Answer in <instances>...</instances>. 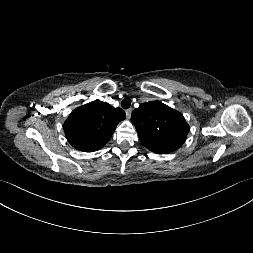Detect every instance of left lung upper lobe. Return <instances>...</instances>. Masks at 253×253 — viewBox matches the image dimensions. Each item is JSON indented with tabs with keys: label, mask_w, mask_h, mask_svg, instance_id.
<instances>
[{
	"label": "left lung upper lobe",
	"mask_w": 253,
	"mask_h": 253,
	"mask_svg": "<svg viewBox=\"0 0 253 253\" xmlns=\"http://www.w3.org/2000/svg\"><path fill=\"white\" fill-rule=\"evenodd\" d=\"M131 122L142 144L159 154L181 147L190 129L180 112L160 101L141 104L132 112Z\"/></svg>",
	"instance_id": "obj_1"
}]
</instances>
